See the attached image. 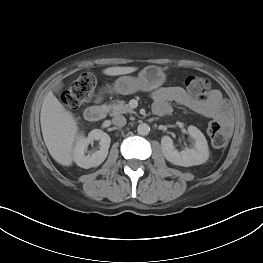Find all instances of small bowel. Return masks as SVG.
<instances>
[{"label": "small bowel", "instance_id": "obj_1", "mask_svg": "<svg viewBox=\"0 0 263 263\" xmlns=\"http://www.w3.org/2000/svg\"><path fill=\"white\" fill-rule=\"evenodd\" d=\"M153 110L158 115L171 112L172 103L188 107L205 117L217 119L229 126V108L218 90H211L203 99L190 96L182 87H161L152 92Z\"/></svg>", "mask_w": 263, "mask_h": 263}]
</instances>
